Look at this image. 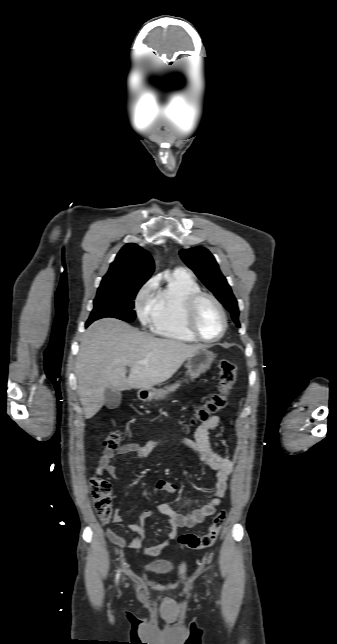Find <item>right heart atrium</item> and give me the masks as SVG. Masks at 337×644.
Segmentation results:
<instances>
[{
  "label": "right heart atrium",
  "instance_id": "right-heart-atrium-1",
  "mask_svg": "<svg viewBox=\"0 0 337 644\" xmlns=\"http://www.w3.org/2000/svg\"><path fill=\"white\" fill-rule=\"evenodd\" d=\"M156 280H149L138 292L135 300L136 311L142 323H148L154 313V290Z\"/></svg>",
  "mask_w": 337,
  "mask_h": 644
}]
</instances>
